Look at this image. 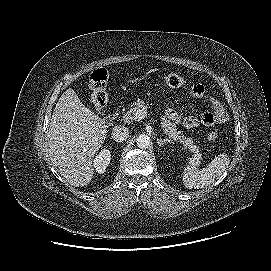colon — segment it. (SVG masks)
Listing matches in <instances>:
<instances>
[{
	"instance_id": "1",
	"label": "colon",
	"mask_w": 271,
	"mask_h": 271,
	"mask_svg": "<svg viewBox=\"0 0 271 271\" xmlns=\"http://www.w3.org/2000/svg\"><path fill=\"white\" fill-rule=\"evenodd\" d=\"M108 74L104 69L94 71L89 78V88L91 90V103L96 111H102L108 102L107 91ZM164 82L172 88L185 86V79L177 74H166L163 77ZM210 139L216 138V133H210Z\"/></svg>"
}]
</instances>
